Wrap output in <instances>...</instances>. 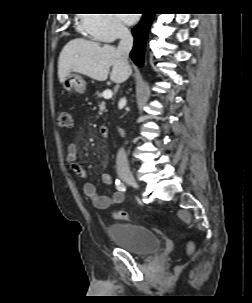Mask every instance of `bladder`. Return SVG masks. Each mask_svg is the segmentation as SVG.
Returning a JSON list of instances; mask_svg holds the SVG:
<instances>
[{
  "label": "bladder",
  "mask_w": 252,
  "mask_h": 303,
  "mask_svg": "<svg viewBox=\"0 0 252 303\" xmlns=\"http://www.w3.org/2000/svg\"><path fill=\"white\" fill-rule=\"evenodd\" d=\"M108 233L118 247L138 256L155 254L161 249L157 234L143 225L112 223Z\"/></svg>",
  "instance_id": "1"
}]
</instances>
